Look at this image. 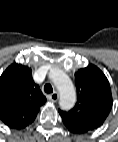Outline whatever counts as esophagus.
<instances>
[{
    "mask_svg": "<svg viewBox=\"0 0 118 142\" xmlns=\"http://www.w3.org/2000/svg\"><path fill=\"white\" fill-rule=\"evenodd\" d=\"M49 100L52 102H57L59 99V93L58 92H53L48 96Z\"/></svg>",
    "mask_w": 118,
    "mask_h": 142,
    "instance_id": "esophagus-1",
    "label": "esophagus"
}]
</instances>
